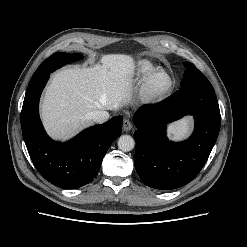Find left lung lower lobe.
<instances>
[{
  "mask_svg": "<svg viewBox=\"0 0 247 247\" xmlns=\"http://www.w3.org/2000/svg\"><path fill=\"white\" fill-rule=\"evenodd\" d=\"M192 115L195 129L189 139L174 143L166 125ZM220 110L213 87L188 85L152 108L134 115L135 168L144 184L172 190L192 181L205 165L220 129Z\"/></svg>",
  "mask_w": 247,
  "mask_h": 247,
  "instance_id": "0a47b994",
  "label": "left lung lower lobe"
}]
</instances>
